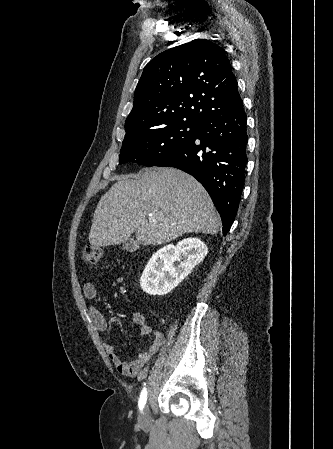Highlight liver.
Masks as SVG:
<instances>
[{
    "instance_id": "1",
    "label": "liver",
    "mask_w": 333,
    "mask_h": 449,
    "mask_svg": "<svg viewBox=\"0 0 333 449\" xmlns=\"http://www.w3.org/2000/svg\"><path fill=\"white\" fill-rule=\"evenodd\" d=\"M219 227L213 202L194 177L175 168H146L119 177L101 197L89 242L118 245L135 232L142 245H160L185 233L213 235Z\"/></svg>"
}]
</instances>
